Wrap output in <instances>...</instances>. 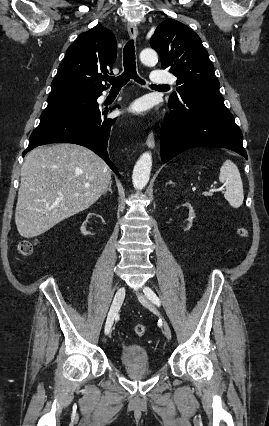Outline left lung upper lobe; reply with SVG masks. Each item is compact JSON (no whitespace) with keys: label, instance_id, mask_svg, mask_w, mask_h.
Segmentation results:
<instances>
[{"label":"left lung upper lobe","instance_id":"1","mask_svg":"<svg viewBox=\"0 0 269 426\" xmlns=\"http://www.w3.org/2000/svg\"><path fill=\"white\" fill-rule=\"evenodd\" d=\"M151 46L161 58V65L169 69L177 79V91L169 101H176L182 95L205 89H219L214 67L200 37L183 23L167 19L155 30Z\"/></svg>","mask_w":269,"mask_h":426}]
</instances>
